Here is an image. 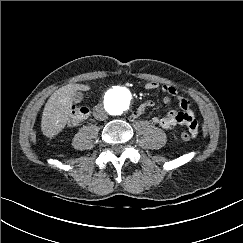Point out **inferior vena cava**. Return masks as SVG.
<instances>
[{
  "label": "inferior vena cava",
  "mask_w": 243,
  "mask_h": 243,
  "mask_svg": "<svg viewBox=\"0 0 243 243\" xmlns=\"http://www.w3.org/2000/svg\"><path fill=\"white\" fill-rule=\"evenodd\" d=\"M94 116L99 121H104L107 119V113L102 107H97Z\"/></svg>",
  "instance_id": "obj_1"
}]
</instances>
